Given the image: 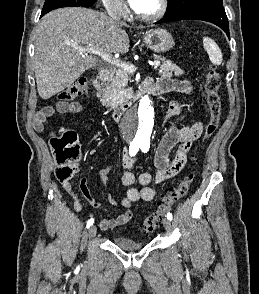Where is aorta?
<instances>
[{
	"label": "aorta",
	"mask_w": 259,
	"mask_h": 294,
	"mask_svg": "<svg viewBox=\"0 0 259 294\" xmlns=\"http://www.w3.org/2000/svg\"><path fill=\"white\" fill-rule=\"evenodd\" d=\"M122 128L131 140H151L154 131V107L148 95L126 114Z\"/></svg>",
	"instance_id": "762f6f07"
}]
</instances>
